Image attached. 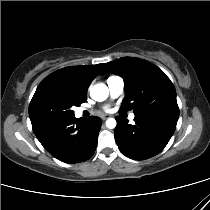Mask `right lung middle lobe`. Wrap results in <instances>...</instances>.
Masks as SVG:
<instances>
[{"label":"right lung middle lobe","mask_w":210,"mask_h":210,"mask_svg":"<svg viewBox=\"0 0 210 210\" xmlns=\"http://www.w3.org/2000/svg\"><path fill=\"white\" fill-rule=\"evenodd\" d=\"M83 102L85 100L66 92L47 96L37 106L31 118L33 131L74 115L71 107L79 106Z\"/></svg>","instance_id":"right-lung-middle-lobe-1"}]
</instances>
